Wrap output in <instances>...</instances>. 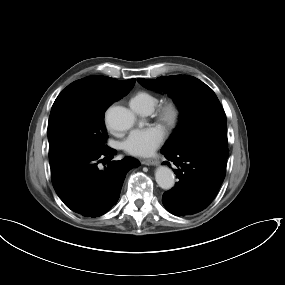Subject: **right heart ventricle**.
Masks as SVG:
<instances>
[{
	"instance_id": "1",
	"label": "right heart ventricle",
	"mask_w": 285,
	"mask_h": 285,
	"mask_svg": "<svg viewBox=\"0 0 285 285\" xmlns=\"http://www.w3.org/2000/svg\"><path fill=\"white\" fill-rule=\"evenodd\" d=\"M157 98L148 92L140 91L136 93L130 104L134 110L150 109L152 110L157 104Z\"/></svg>"
}]
</instances>
